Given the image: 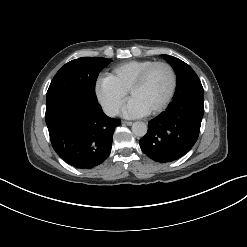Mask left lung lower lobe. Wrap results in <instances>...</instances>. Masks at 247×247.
I'll return each instance as SVG.
<instances>
[{"mask_svg": "<svg viewBox=\"0 0 247 247\" xmlns=\"http://www.w3.org/2000/svg\"><path fill=\"white\" fill-rule=\"evenodd\" d=\"M203 94L185 96L170 104L149 123L139 141L141 150L157 162H171L196 143L204 114Z\"/></svg>", "mask_w": 247, "mask_h": 247, "instance_id": "obj_1", "label": "left lung lower lobe"}]
</instances>
